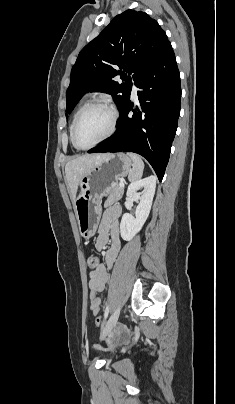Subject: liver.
I'll list each match as a JSON object with an SVG mask.
<instances>
[{
  "label": "liver",
  "mask_w": 235,
  "mask_h": 404,
  "mask_svg": "<svg viewBox=\"0 0 235 404\" xmlns=\"http://www.w3.org/2000/svg\"><path fill=\"white\" fill-rule=\"evenodd\" d=\"M107 154H85L70 160L65 166L66 180L68 182L71 198L76 200L80 180L87 175Z\"/></svg>",
  "instance_id": "1"
}]
</instances>
